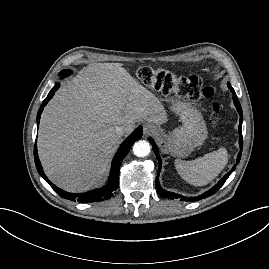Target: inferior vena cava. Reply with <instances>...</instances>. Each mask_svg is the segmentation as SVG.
<instances>
[{
  "label": "inferior vena cava",
  "mask_w": 269,
  "mask_h": 269,
  "mask_svg": "<svg viewBox=\"0 0 269 269\" xmlns=\"http://www.w3.org/2000/svg\"><path fill=\"white\" fill-rule=\"evenodd\" d=\"M126 129H127L126 125L117 126L116 127V135L121 137L125 133Z\"/></svg>",
  "instance_id": "obj_1"
}]
</instances>
